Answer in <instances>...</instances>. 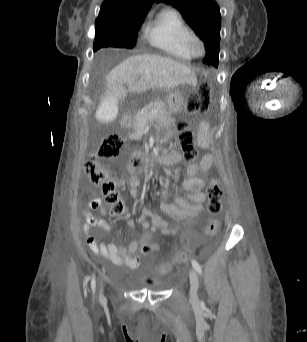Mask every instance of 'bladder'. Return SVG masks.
<instances>
[{
  "mask_svg": "<svg viewBox=\"0 0 307 342\" xmlns=\"http://www.w3.org/2000/svg\"><path fill=\"white\" fill-rule=\"evenodd\" d=\"M140 286L142 288H146L148 290L159 291L163 290L166 285L163 284L156 278L151 277L150 275H143L140 279Z\"/></svg>",
  "mask_w": 307,
  "mask_h": 342,
  "instance_id": "1",
  "label": "bladder"
}]
</instances>
